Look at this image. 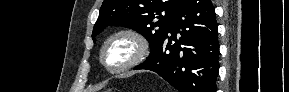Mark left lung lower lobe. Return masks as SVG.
<instances>
[{
	"instance_id": "0a47b994",
	"label": "left lung lower lobe",
	"mask_w": 289,
	"mask_h": 92,
	"mask_svg": "<svg viewBox=\"0 0 289 92\" xmlns=\"http://www.w3.org/2000/svg\"><path fill=\"white\" fill-rule=\"evenodd\" d=\"M217 27L210 0H182L157 51L135 69L156 72L179 92H215Z\"/></svg>"
}]
</instances>
